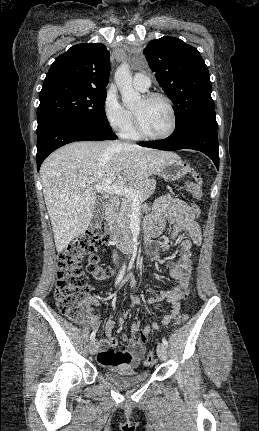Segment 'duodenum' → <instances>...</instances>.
Wrapping results in <instances>:
<instances>
[{
  "label": "duodenum",
  "mask_w": 259,
  "mask_h": 431,
  "mask_svg": "<svg viewBox=\"0 0 259 431\" xmlns=\"http://www.w3.org/2000/svg\"><path fill=\"white\" fill-rule=\"evenodd\" d=\"M114 204H115V201L110 200L105 206V219H106L107 225L109 226L112 224ZM110 243L113 245H117L122 251L126 253H131L136 249L134 236L128 232H119L117 230H111ZM85 323L89 324V321H86Z\"/></svg>",
  "instance_id": "1"
}]
</instances>
